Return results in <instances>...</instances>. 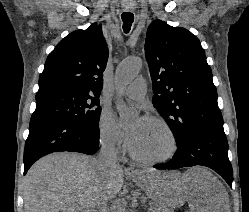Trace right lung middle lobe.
Here are the masks:
<instances>
[{
    "instance_id": "obj_1",
    "label": "right lung middle lobe",
    "mask_w": 249,
    "mask_h": 212,
    "mask_svg": "<svg viewBox=\"0 0 249 212\" xmlns=\"http://www.w3.org/2000/svg\"><path fill=\"white\" fill-rule=\"evenodd\" d=\"M98 95L80 92H49L36 95V109L30 124L46 120H67L98 126L101 113Z\"/></svg>"
}]
</instances>
